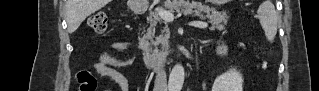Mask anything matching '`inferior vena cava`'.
<instances>
[{
  "label": "inferior vena cava",
  "instance_id": "inferior-vena-cava-1",
  "mask_svg": "<svg viewBox=\"0 0 319 91\" xmlns=\"http://www.w3.org/2000/svg\"><path fill=\"white\" fill-rule=\"evenodd\" d=\"M154 91H167L166 72L163 68H159L156 71Z\"/></svg>",
  "mask_w": 319,
  "mask_h": 91
}]
</instances>
